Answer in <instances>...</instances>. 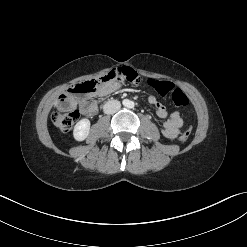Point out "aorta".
<instances>
[{
  "label": "aorta",
  "mask_w": 247,
  "mask_h": 247,
  "mask_svg": "<svg viewBox=\"0 0 247 247\" xmlns=\"http://www.w3.org/2000/svg\"><path fill=\"white\" fill-rule=\"evenodd\" d=\"M124 106H126L128 108H132L134 106V103H133V101L125 100L124 101Z\"/></svg>",
  "instance_id": "762f6f07"
}]
</instances>
